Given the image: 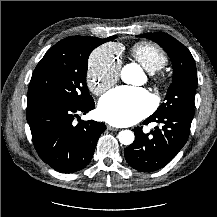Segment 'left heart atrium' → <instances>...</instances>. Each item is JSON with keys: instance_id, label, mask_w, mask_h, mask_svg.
I'll return each instance as SVG.
<instances>
[{"instance_id": "left-heart-atrium-1", "label": "left heart atrium", "mask_w": 217, "mask_h": 217, "mask_svg": "<svg viewBox=\"0 0 217 217\" xmlns=\"http://www.w3.org/2000/svg\"><path fill=\"white\" fill-rule=\"evenodd\" d=\"M153 99L145 89L121 86L100 100V117L113 125L126 126L142 119L151 110Z\"/></svg>"}]
</instances>
